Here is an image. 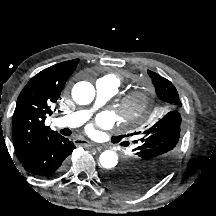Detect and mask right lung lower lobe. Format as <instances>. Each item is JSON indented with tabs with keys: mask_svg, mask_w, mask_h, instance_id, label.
I'll list each match as a JSON object with an SVG mask.
<instances>
[{
	"mask_svg": "<svg viewBox=\"0 0 216 216\" xmlns=\"http://www.w3.org/2000/svg\"><path fill=\"white\" fill-rule=\"evenodd\" d=\"M75 148L71 141L57 134L37 148L22 164L31 174L50 178L62 171L67 157Z\"/></svg>",
	"mask_w": 216,
	"mask_h": 216,
	"instance_id": "right-lung-lower-lobe-1",
	"label": "right lung lower lobe"
}]
</instances>
